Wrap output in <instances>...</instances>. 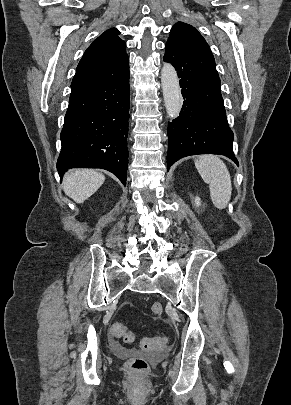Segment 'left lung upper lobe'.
<instances>
[{"label":"left lung upper lobe","mask_w":291,"mask_h":405,"mask_svg":"<svg viewBox=\"0 0 291 405\" xmlns=\"http://www.w3.org/2000/svg\"><path fill=\"white\" fill-rule=\"evenodd\" d=\"M168 40L179 42L192 49L212 53L201 34L193 26L183 22H178L172 27Z\"/></svg>","instance_id":"obj_1"}]
</instances>
